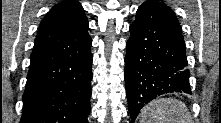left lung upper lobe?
I'll use <instances>...</instances> for the list:
<instances>
[{
    "label": "left lung upper lobe",
    "mask_w": 221,
    "mask_h": 123,
    "mask_svg": "<svg viewBox=\"0 0 221 123\" xmlns=\"http://www.w3.org/2000/svg\"><path fill=\"white\" fill-rule=\"evenodd\" d=\"M154 2L158 3L161 7H163V8H165V9L169 10V11L172 12V13H174V12L171 10V8L168 7V6H166L164 3H160V2H158V1H154Z\"/></svg>",
    "instance_id": "left-lung-upper-lobe-1"
}]
</instances>
